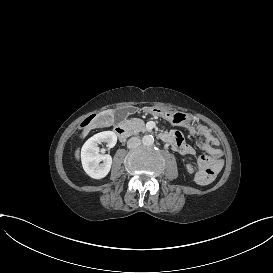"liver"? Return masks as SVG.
<instances>
[{
    "mask_svg": "<svg viewBox=\"0 0 273 273\" xmlns=\"http://www.w3.org/2000/svg\"><path fill=\"white\" fill-rule=\"evenodd\" d=\"M115 124V109H107L95 115L91 122L85 125L78 135V140L83 141L93 129H102L114 126ZM76 162H80V147L74 151Z\"/></svg>",
    "mask_w": 273,
    "mask_h": 273,
    "instance_id": "obj_1",
    "label": "liver"
}]
</instances>
